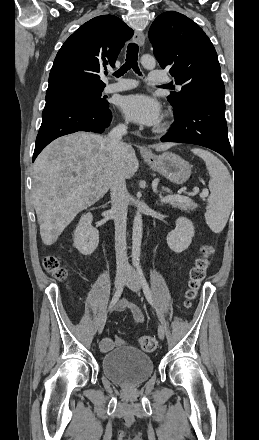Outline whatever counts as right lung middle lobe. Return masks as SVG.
Returning <instances> with one entry per match:
<instances>
[{
	"label": "right lung middle lobe",
	"mask_w": 259,
	"mask_h": 440,
	"mask_svg": "<svg viewBox=\"0 0 259 440\" xmlns=\"http://www.w3.org/2000/svg\"><path fill=\"white\" fill-rule=\"evenodd\" d=\"M104 88H86L75 87L67 90H62L50 94H46V103L51 101H60L68 99H81L94 102L100 106H107V100L101 97Z\"/></svg>",
	"instance_id": "1"
}]
</instances>
